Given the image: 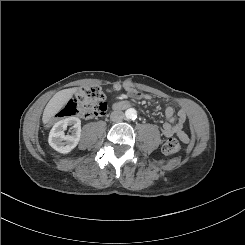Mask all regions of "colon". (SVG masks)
<instances>
[{
    "label": "colon",
    "mask_w": 245,
    "mask_h": 245,
    "mask_svg": "<svg viewBox=\"0 0 245 245\" xmlns=\"http://www.w3.org/2000/svg\"><path fill=\"white\" fill-rule=\"evenodd\" d=\"M106 110L107 104L102 89L98 86H84L62 107L49 123V126L55 121L67 117H98L103 115ZM162 150L165 154L171 155L179 152L181 145L176 137H170L163 143Z\"/></svg>",
    "instance_id": "obj_1"
}]
</instances>
